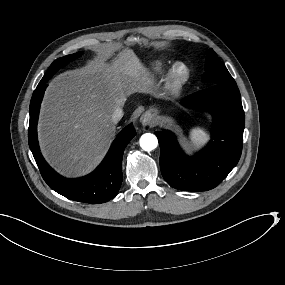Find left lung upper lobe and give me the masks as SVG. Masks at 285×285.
Returning a JSON list of instances; mask_svg holds the SVG:
<instances>
[{"label": "left lung upper lobe", "instance_id": "1", "mask_svg": "<svg viewBox=\"0 0 285 285\" xmlns=\"http://www.w3.org/2000/svg\"><path fill=\"white\" fill-rule=\"evenodd\" d=\"M202 81L214 84H235L227 68L219 60L213 49H209L206 57L205 73Z\"/></svg>", "mask_w": 285, "mask_h": 285}]
</instances>
